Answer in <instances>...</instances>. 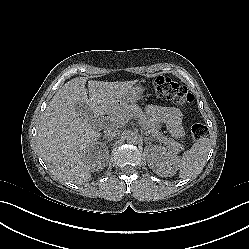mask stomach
Here are the masks:
<instances>
[{"mask_svg":"<svg viewBox=\"0 0 249 249\" xmlns=\"http://www.w3.org/2000/svg\"><path fill=\"white\" fill-rule=\"evenodd\" d=\"M144 91H145V88L143 86L141 85L135 86L129 90L125 99L129 102L138 101L141 99V96L143 95Z\"/></svg>","mask_w":249,"mask_h":249,"instance_id":"0dacf381","label":"stomach"}]
</instances>
